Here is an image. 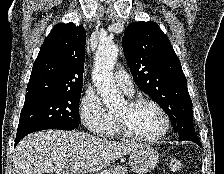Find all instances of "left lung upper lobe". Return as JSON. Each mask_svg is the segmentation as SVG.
Segmentation results:
<instances>
[{
    "label": "left lung upper lobe",
    "mask_w": 224,
    "mask_h": 174,
    "mask_svg": "<svg viewBox=\"0 0 224 174\" xmlns=\"http://www.w3.org/2000/svg\"><path fill=\"white\" fill-rule=\"evenodd\" d=\"M133 80L170 117L174 131L193 126L192 101L180 61L155 22L130 24L122 38Z\"/></svg>",
    "instance_id": "left-lung-upper-lobe-1"
}]
</instances>
